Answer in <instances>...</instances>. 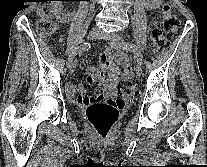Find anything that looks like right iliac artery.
<instances>
[{
	"label": "right iliac artery",
	"mask_w": 207,
	"mask_h": 167,
	"mask_svg": "<svg viewBox=\"0 0 207 167\" xmlns=\"http://www.w3.org/2000/svg\"><path fill=\"white\" fill-rule=\"evenodd\" d=\"M91 47V45H90V43H84L83 45H81V46H79L69 57H68V59H67V62H66V64H67V66L69 67L70 66V64L72 63V61H73V58H74V56L77 54V53H82V52H84V51H86V50H88L89 48Z\"/></svg>",
	"instance_id": "1"
}]
</instances>
